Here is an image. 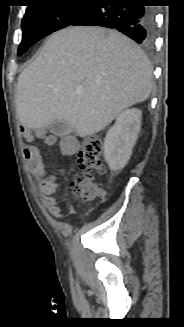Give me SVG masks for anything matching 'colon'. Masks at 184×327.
<instances>
[{
	"label": "colon",
	"mask_w": 184,
	"mask_h": 327,
	"mask_svg": "<svg viewBox=\"0 0 184 327\" xmlns=\"http://www.w3.org/2000/svg\"><path fill=\"white\" fill-rule=\"evenodd\" d=\"M77 163L81 174L73 177L72 190L74 195L87 202L101 197V189L93 182V177L96 174L104 172L102 143L97 136H89L82 141Z\"/></svg>",
	"instance_id": "obj_1"
}]
</instances>
